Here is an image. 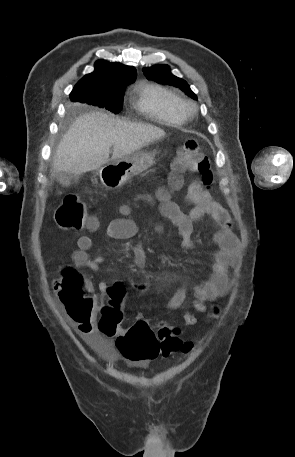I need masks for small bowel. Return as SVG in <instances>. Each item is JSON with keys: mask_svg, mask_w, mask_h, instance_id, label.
I'll use <instances>...</instances> for the list:
<instances>
[{"mask_svg": "<svg viewBox=\"0 0 295 457\" xmlns=\"http://www.w3.org/2000/svg\"><path fill=\"white\" fill-rule=\"evenodd\" d=\"M187 197L194 203V207L189 213L183 212L175 202L167 196H163L162 193L158 195L138 194L119 205L117 210L119 213L127 214L132 206L139 203L156 206L160 213L168 218L177 229L182 237L181 245L185 249H190L193 246L191 235L196 221L203 217H209L219 226V230L213 236V241L218 249L213 254L212 275L207 281L195 287V299L191 311L183 316L184 325L194 326L197 324L198 315L206 311V302L218 300L227 293L229 289L228 267L238 246V240L232 230L230 215L212 198L209 190L200 182L194 181L189 184ZM137 232L138 228L134 221L128 217H123L116 218L108 224L105 229V236L116 240H127L136 236ZM91 245L92 240L89 236H80L77 241V249L72 254V260L78 267H87L93 271H98L104 258L102 256L90 258L88 250ZM133 257L138 266L146 265L147 256L140 245L134 248ZM109 287L106 281H100L98 284L100 292L108 291ZM186 297V289L179 288L168 300L167 308L169 310L178 309ZM70 322L83 338H102L92 318L89 321H81L70 317ZM131 361L147 362L150 360Z\"/></svg>", "mask_w": 295, "mask_h": 457, "instance_id": "small-bowel-1", "label": "small bowel"}]
</instances>
